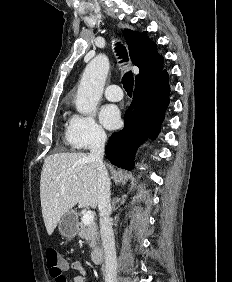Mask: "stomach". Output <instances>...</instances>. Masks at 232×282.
Instances as JSON below:
<instances>
[{
	"label": "stomach",
	"mask_w": 232,
	"mask_h": 282,
	"mask_svg": "<svg viewBox=\"0 0 232 282\" xmlns=\"http://www.w3.org/2000/svg\"><path fill=\"white\" fill-rule=\"evenodd\" d=\"M78 219L74 210L66 212L58 222V230L60 234L67 238L72 239L78 233Z\"/></svg>",
	"instance_id": "0dacf381"
}]
</instances>
